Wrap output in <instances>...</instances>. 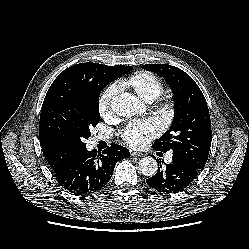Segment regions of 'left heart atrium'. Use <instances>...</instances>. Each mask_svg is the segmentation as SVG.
Here are the masks:
<instances>
[{
	"label": "left heart atrium",
	"mask_w": 249,
	"mask_h": 249,
	"mask_svg": "<svg viewBox=\"0 0 249 249\" xmlns=\"http://www.w3.org/2000/svg\"><path fill=\"white\" fill-rule=\"evenodd\" d=\"M162 129L157 118L133 120L121 131L122 140L132 148H142Z\"/></svg>",
	"instance_id": "obj_1"
}]
</instances>
